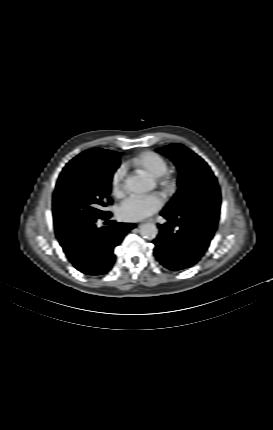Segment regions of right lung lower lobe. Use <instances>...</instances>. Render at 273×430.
<instances>
[{
    "label": "right lung lower lobe",
    "instance_id": "1",
    "mask_svg": "<svg viewBox=\"0 0 273 430\" xmlns=\"http://www.w3.org/2000/svg\"><path fill=\"white\" fill-rule=\"evenodd\" d=\"M110 217L111 214L102 219ZM134 227L132 223L114 222L109 227L97 228L94 222L59 243L77 270L90 276L104 275L115 262L114 248Z\"/></svg>",
    "mask_w": 273,
    "mask_h": 430
}]
</instances>
